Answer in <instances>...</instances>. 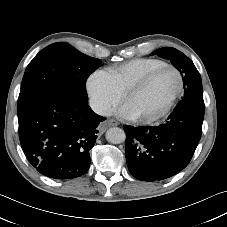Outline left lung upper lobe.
Returning <instances> with one entry per match:
<instances>
[{"label": "left lung upper lobe", "instance_id": "obj_1", "mask_svg": "<svg viewBox=\"0 0 227 227\" xmlns=\"http://www.w3.org/2000/svg\"><path fill=\"white\" fill-rule=\"evenodd\" d=\"M171 63L179 70L183 76L184 97L178 103L177 107L188 105H204L201 77L193 62L182 52L172 47H163L152 52Z\"/></svg>", "mask_w": 227, "mask_h": 227}]
</instances>
